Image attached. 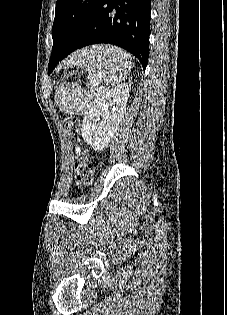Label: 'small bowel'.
<instances>
[{
	"label": "small bowel",
	"mask_w": 227,
	"mask_h": 315,
	"mask_svg": "<svg viewBox=\"0 0 227 315\" xmlns=\"http://www.w3.org/2000/svg\"><path fill=\"white\" fill-rule=\"evenodd\" d=\"M75 153L76 154L80 153V149L79 148H75Z\"/></svg>",
	"instance_id": "obj_1"
}]
</instances>
